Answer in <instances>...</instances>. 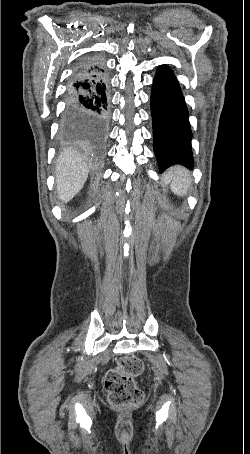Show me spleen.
<instances>
[{
	"label": "spleen",
	"instance_id": "spleen-1",
	"mask_svg": "<svg viewBox=\"0 0 250 454\" xmlns=\"http://www.w3.org/2000/svg\"><path fill=\"white\" fill-rule=\"evenodd\" d=\"M165 183L171 184V190L180 196L187 193L191 185V177L188 171L180 166L171 168L164 178Z\"/></svg>",
	"mask_w": 250,
	"mask_h": 454
}]
</instances>
